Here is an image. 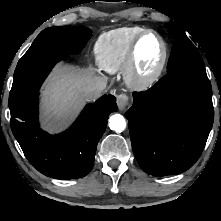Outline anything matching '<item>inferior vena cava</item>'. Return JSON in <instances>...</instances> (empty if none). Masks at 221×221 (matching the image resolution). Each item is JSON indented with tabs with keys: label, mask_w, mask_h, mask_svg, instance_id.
I'll return each mask as SVG.
<instances>
[{
	"label": "inferior vena cava",
	"mask_w": 221,
	"mask_h": 221,
	"mask_svg": "<svg viewBox=\"0 0 221 221\" xmlns=\"http://www.w3.org/2000/svg\"><path fill=\"white\" fill-rule=\"evenodd\" d=\"M107 86V81L101 77H93L85 86V93L90 98L98 97Z\"/></svg>",
	"instance_id": "inferior-vena-cava-1"
}]
</instances>
